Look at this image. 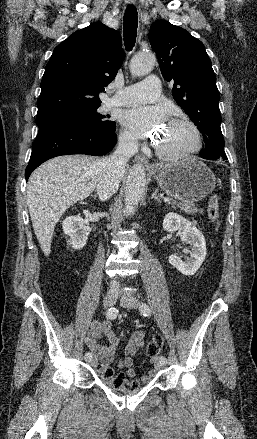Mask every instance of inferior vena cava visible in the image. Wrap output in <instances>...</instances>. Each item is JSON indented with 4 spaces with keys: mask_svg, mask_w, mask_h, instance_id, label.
Masks as SVG:
<instances>
[{
    "mask_svg": "<svg viewBox=\"0 0 257 439\" xmlns=\"http://www.w3.org/2000/svg\"><path fill=\"white\" fill-rule=\"evenodd\" d=\"M138 151L137 141L130 137L119 139L115 152L100 161L101 171L98 177L96 189L99 199L106 201L119 188L120 180L124 174L127 161ZM112 288H118L119 282H110Z\"/></svg>",
    "mask_w": 257,
    "mask_h": 439,
    "instance_id": "obj_1",
    "label": "inferior vena cava"
}]
</instances>
